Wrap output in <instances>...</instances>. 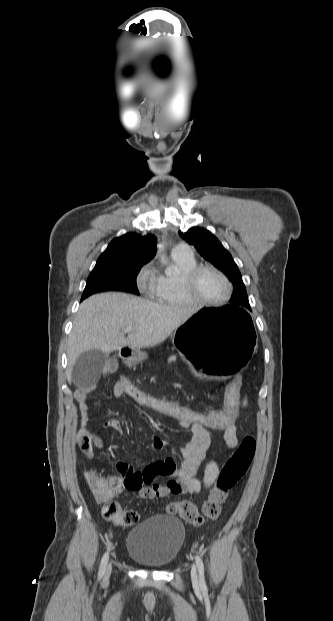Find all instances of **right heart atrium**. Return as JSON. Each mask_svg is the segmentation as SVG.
<instances>
[{
    "label": "right heart atrium",
    "mask_w": 333,
    "mask_h": 621,
    "mask_svg": "<svg viewBox=\"0 0 333 621\" xmlns=\"http://www.w3.org/2000/svg\"><path fill=\"white\" fill-rule=\"evenodd\" d=\"M137 285L142 292L153 293L156 287V276L149 266L144 267L139 273Z\"/></svg>",
    "instance_id": "obj_1"
}]
</instances>
